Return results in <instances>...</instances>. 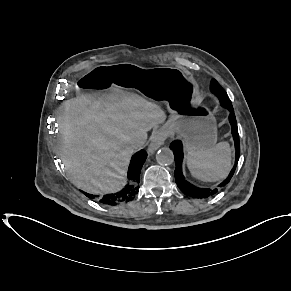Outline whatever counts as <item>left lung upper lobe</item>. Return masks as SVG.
<instances>
[{"label": "left lung upper lobe", "instance_id": "1", "mask_svg": "<svg viewBox=\"0 0 291 291\" xmlns=\"http://www.w3.org/2000/svg\"><path fill=\"white\" fill-rule=\"evenodd\" d=\"M211 92L213 94H215L217 97L220 96V95L228 97V95L225 92V90L219 85V83L215 79H213L212 82H211Z\"/></svg>", "mask_w": 291, "mask_h": 291}]
</instances>
